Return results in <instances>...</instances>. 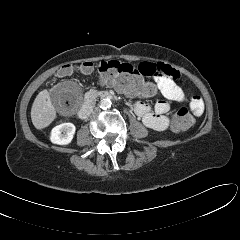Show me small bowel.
<instances>
[{
    "instance_id": "small-bowel-1",
    "label": "small bowel",
    "mask_w": 240,
    "mask_h": 240,
    "mask_svg": "<svg viewBox=\"0 0 240 240\" xmlns=\"http://www.w3.org/2000/svg\"><path fill=\"white\" fill-rule=\"evenodd\" d=\"M138 68L143 76L152 77L155 80L163 99L155 104L154 109L144 102H137L133 110L146 127L163 131L170 123L167 113L171 104L188 100L185 91L177 83L180 74L164 63L142 62ZM189 107L195 116H201L204 111V102L200 96L193 95L189 99Z\"/></svg>"
}]
</instances>
